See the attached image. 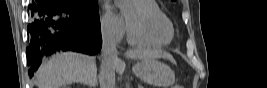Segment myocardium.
<instances>
[{"mask_svg": "<svg viewBox=\"0 0 267 88\" xmlns=\"http://www.w3.org/2000/svg\"><path fill=\"white\" fill-rule=\"evenodd\" d=\"M133 5L136 9L142 11L144 14L154 22V26L147 27L140 23L133 22L128 15H126V25L131 35L137 36L142 39L159 41V42H170L174 35V28L172 23H165L163 17L145 8L143 5L133 1Z\"/></svg>", "mask_w": 267, "mask_h": 88, "instance_id": "f54148a6", "label": "myocardium"}]
</instances>
